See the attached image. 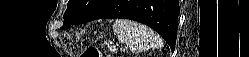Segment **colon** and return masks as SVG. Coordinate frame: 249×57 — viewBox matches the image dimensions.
I'll return each instance as SVG.
<instances>
[{
    "mask_svg": "<svg viewBox=\"0 0 249 57\" xmlns=\"http://www.w3.org/2000/svg\"><path fill=\"white\" fill-rule=\"evenodd\" d=\"M82 57H103V55L99 49L89 47L83 52Z\"/></svg>",
    "mask_w": 249,
    "mask_h": 57,
    "instance_id": "obj_1",
    "label": "colon"
}]
</instances>
